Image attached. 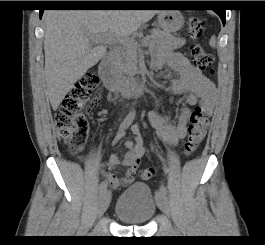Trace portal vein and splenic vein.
I'll return each mask as SVG.
<instances>
[{"label": "portal vein and splenic vein", "mask_w": 265, "mask_h": 245, "mask_svg": "<svg viewBox=\"0 0 265 245\" xmlns=\"http://www.w3.org/2000/svg\"><path fill=\"white\" fill-rule=\"evenodd\" d=\"M92 39H93V41L96 42V43H98V42H100V43H105V42L111 40V38H110V34H109V33L95 34V35H93ZM122 42H125V43H127V44H128V43H131V42H129L128 40H122ZM143 43H144V44H147V43H148V39H147V38H144V39H143Z\"/></svg>", "instance_id": "1"}]
</instances>
